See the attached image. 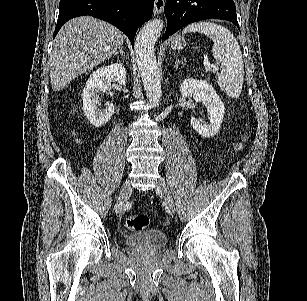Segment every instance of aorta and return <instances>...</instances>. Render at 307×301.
Instances as JSON below:
<instances>
[{
    "mask_svg": "<svg viewBox=\"0 0 307 301\" xmlns=\"http://www.w3.org/2000/svg\"><path fill=\"white\" fill-rule=\"evenodd\" d=\"M161 18H152L140 28L134 44L136 62L138 64L143 86L153 106H159L162 88L159 68L154 52L157 38L163 28Z\"/></svg>",
    "mask_w": 307,
    "mask_h": 301,
    "instance_id": "762f6f07",
    "label": "aorta"
}]
</instances>
